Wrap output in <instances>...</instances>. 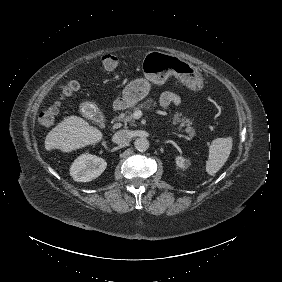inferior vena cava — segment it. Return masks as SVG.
Masks as SVG:
<instances>
[{
    "label": "inferior vena cava",
    "instance_id": "obj_1",
    "mask_svg": "<svg viewBox=\"0 0 282 282\" xmlns=\"http://www.w3.org/2000/svg\"><path fill=\"white\" fill-rule=\"evenodd\" d=\"M131 138L129 130H120L114 135V140L118 144H127Z\"/></svg>",
    "mask_w": 282,
    "mask_h": 282
}]
</instances>
